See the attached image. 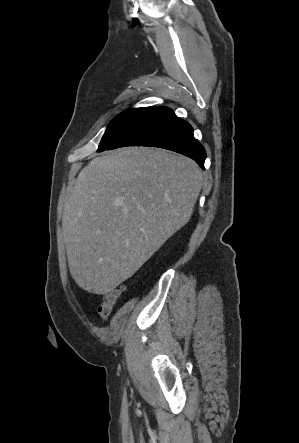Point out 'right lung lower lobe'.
Returning <instances> with one entry per match:
<instances>
[{
  "label": "right lung lower lobe",
  "mask_w": 299,
  "mask_h": 443,
  "mask_svg": "<svg viewBox=\"0 0 299 443\" xmlns=\"http://www.w3.org/2000/svg\"><path fill=\"white\" fill-rule=\"evenodd\" d=\"M125 146H152L172 150L194 159L204 168L206 152L194 138L191 125L179 119L167 107L145 108L105 150Z\"/></svg>",
  "instance_id": "1"
}]
</instances>
